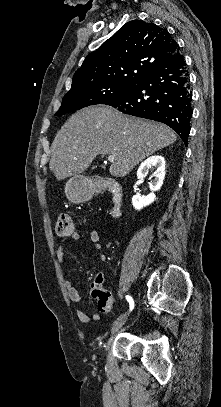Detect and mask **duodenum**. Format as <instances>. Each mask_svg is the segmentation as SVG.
Masks as SVG:
<instances>
[{
  "label": "duodenum",
  "instance_id": "1",
  "mask_svg": "<svg viewBox=\"0 0 221 407\" xmlns=\"http://www.w3.org/2000/svg\"><path fill=\"white\" fill-rule=\"evenodd\" d=\"M90 190L93 193L100 194L109 192L111 194V209L110 214L113 218H118L121 215L122 206V188L118 183H92Z\"/></svg>",
  "mask_w": 221,
  "mask_h": 407
}]
</instances>
